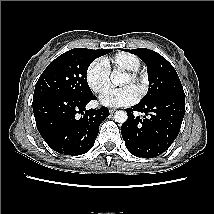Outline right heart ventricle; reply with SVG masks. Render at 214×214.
Listing matches in <instances>:
<instances>
[{
	"mask_svg": "<svg viewBox=\"0 0 214 214\" xmlns=\"http://www.w3.org/2000/svg\"><path fill=\"white\" fill-rule=\"evenodd\" d=\"M104 61L109 70L114 68L123 71H138L141 67L140 58L128 52H119L112 59H105Z\"/></svg>",
	"mask_w": 214,
	"mask_h": 214,
	"instance_id": "e07e8e85",
	"label": "right heart ventricle"
}]
</instances>
